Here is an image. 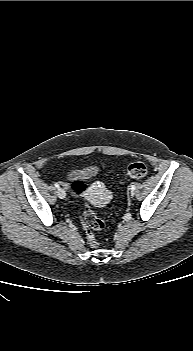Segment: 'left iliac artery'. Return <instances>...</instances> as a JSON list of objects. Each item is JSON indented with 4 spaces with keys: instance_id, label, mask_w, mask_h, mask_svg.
Segmentation results:
<instances>
[{
    "instance_id": "44dca946",
    "label": "left iliac artery",
    "mask_w": 193,
    "mask_h": 351,
    "mask_svg": "<svg viewBox=\"0 0 193 351\" xmlns=\"http://www.w3.org/2000/svg\"><path fill=\"white\" fill-rule=\"evenodd\" d=\"M135 189H136L135 184L131 185V190H135Z\"/></svg>"
}]
</instances>
